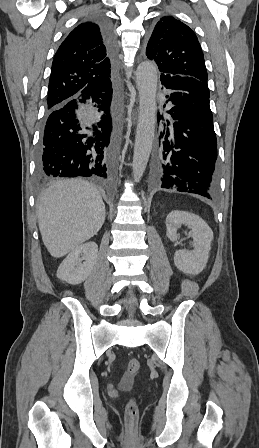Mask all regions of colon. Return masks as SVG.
Returning <instances> with one entry per match:
<instances>
[{"instance_id": "obj_1", "label": "colon", "mask_w": 259, "mask_h": 448, "mask_svg": "<svg viewBox=\"0 0 259 448\" xmlns=\"http://www.w3.org/2000/svg\"><path fill=\"white\" fill-rule=\"evenodd\" d=\"M140 368V362L137 358H132L127 364L128 374H135ZM125 417L127 425L130 429H133L136 425L138 418V408L135 401H130L125 410Z\"/></svg>"}]
</instances>
